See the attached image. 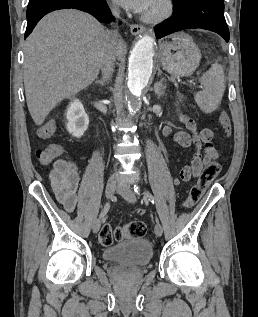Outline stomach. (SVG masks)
Returning <instances> with one entry per match:
<instances>
[{
	"label": "stomach",
	"mask_w": 258,
	"mask_h": 317,
	"mask_svg": "<svg viewBox=\"0 0 258 317\" xmlns=\"http://www.w3.org/2000/svg\"><path fill=\"white\" fill-rule=\"evenodd\" d=\"M159 58L171 76H190L199 66L201 52L189 34L178 32L170 42H160Z\"/></svg>",
	"instance_id": "1"
}]
</instances>
